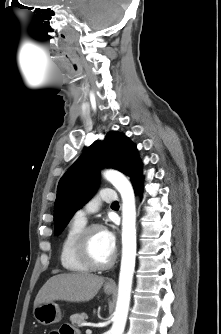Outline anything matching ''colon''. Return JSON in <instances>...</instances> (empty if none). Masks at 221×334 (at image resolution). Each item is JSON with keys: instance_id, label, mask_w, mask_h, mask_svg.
<instances>
[{"instance_id": "obj_1", "label": "colon", "mask_w": 221, "mask_h": 334, "mask_svg": "<svg viewBox=\"0 0 221 334\" xmlns=\"http://www.w3.org/2000/svg\"><path fill=\"white\" fill-rule=\"evenodd\" d=\"M49 334H57L55 331L50 332Z\"/></svg>"}]
</instances>
